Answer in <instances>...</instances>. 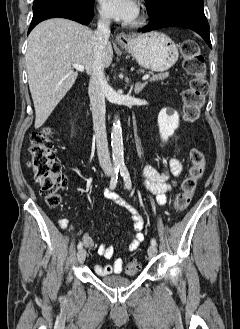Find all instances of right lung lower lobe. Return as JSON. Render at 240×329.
I'll return each mask as SVG.
<instances>
[{
    "mask_svg": "<svg viewBox=\"0 0 240 329\" xmlns=\"http://www.w3.org/2000/svg\"><path fill=\"white\" fill-rule=\"evenodd\" d=\"M66 18L87 25L93 17V5L76 7L61 3L42 2L33 5V18L28 33L41 21L49 18Z\"/></svg>",
    "mask_w": 240,
    "mask_h": 329,
    "instance_id": "right-lung-lower-lobe-1",
    "label": "right lung lower lobe"
}]
</instances>
